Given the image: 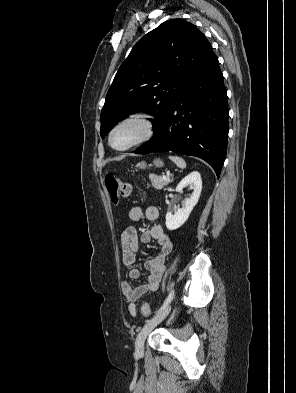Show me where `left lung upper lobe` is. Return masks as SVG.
I'll return each mask as SVG.
<instances>
[{
    "label": "left lung upper lobe",
    "instance_id": "5c2ea615",
    "mask_svg": "<svg viewBox=\"0 0 296 393\" xmlns=\"http://www.w3.org/2000/svg\"><path fill=\"white\" fill-rule=\"evenodd\" d=\"M212 47L204 34L183 19L168 20L146 34L120 66L101 111L103 138L125 116L137 111L153 115L154 131Z\"/></svg>",
    "mask_w": 296,
    "mask_h": 393
}]
</instances>
